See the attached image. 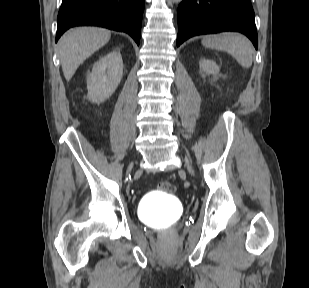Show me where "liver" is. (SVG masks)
<instances>
[{"label": "liver", "instance_id": "liver-1", "mask_svg": "<svg viewBox=\"0 0 309 288\" xmlns=\"http://www.w3.org/2000/svg\"><path fill=\"white\" fill-rule=\"evenodd\" d=\"M111 32L98 27H78L68 30L59 40L60 60L66 81L95 51L106 45Z\"/></svg>", "mask_w": 309, "mask_h": 288}]
</instances>
